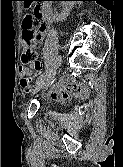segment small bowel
<instances>
[{
	"instance_id": "obj_1",
	"label": "small bowel",
	"mask_w": 123,
	"mask_h": 167,
	"mask_svg": "<svg viewBox=\"0 0 123 167\" xmlns=\"http://www.w3.org/2000/svg\"><path fill=\"white\" fill-rule=\"evenodd\" d=\"M24 9H31V5H24ZM47 34L44 31L42 38ZM41 65H30L20 70V87L24 93L31 91L30 80L33 76L40 73ZM50 98L53 100H65L68 98L84 100L90 96L88 87L74 80L71 77L65 76L50 88Z\"/></svg>"
}]
</instances>
